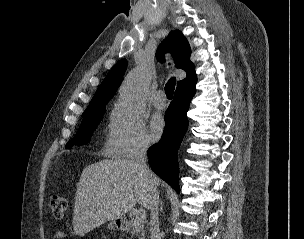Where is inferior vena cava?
<instances>
[{"label":"inferior vena cava","instance_id":"602c4592","mask_svg":"<svg viewBox=\"0 0 304 239\" xmlns=\"http://www.w3.org/2000/svg\"><path fill=\"white\" fill-rule=\"evenodd\" d=\"M147 149L148 144L145 141H140L132 151L130 160L132 164L138 169L139 174L144 178L147 187L150 191L149 209L150 213V238L160 239L158 206H159V193L157 190L158 180L153 172L148 168L147 162Z\"/></svg>","mask_w":304,"mask_h":239}]
</instances>
